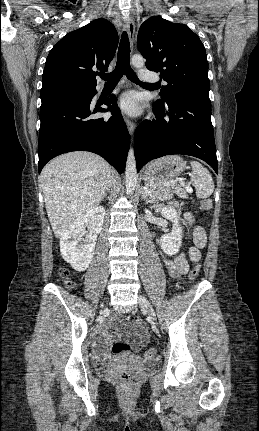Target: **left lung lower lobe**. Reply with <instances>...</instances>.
Here are the masks:
<instances>
[{"label": "left lung lower lobe", "mask_w": 259, "mask_h": 431, "mask_svg": "<svg viewBox=\"0 0 259 431\" xmlns=\"http://www.w3.org/2000/svg\"><path fill=\"white\" fill-rule=\"evenodd\" d=\"M155 119L136 128L134 150L137 171L149 161L170 154L194 156L208 163L218 174L211 102L193 95H176L157 100Z\"/></svg>", "instance_id": "left-lung-lower-lobe-1"}]
</instances>
